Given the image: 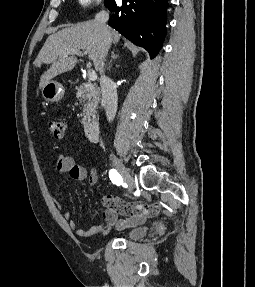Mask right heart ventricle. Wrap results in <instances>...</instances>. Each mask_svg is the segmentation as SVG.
<instances>
[{"mask_svg":"<svg viewBox=\"0 0 255 287\" xmlns=\"http://www.w3.org/2000/svg\"><path fill=\"white\" fill-rule=\"evenodd\" d=\"M90 33V32H89ZM82 39H90V38H82ZM56 48V47H55ZM122 48H135V47H122Z\"/></svg>","mask_w":255,"mask_h":287,"instance_id":"obj_1","label":"right heart ventricle"}]
</instances>
